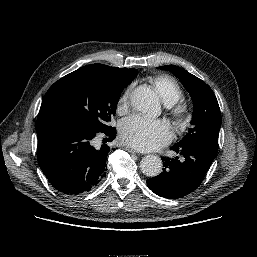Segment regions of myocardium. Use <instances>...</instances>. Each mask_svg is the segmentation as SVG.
I'll list each match as a JSON object with an SVG mask.
<instances>
[{
    "mask_svg": "<svg viewBox=\"0 0 257 257\" xmlns=\"http://www.w3.org/2000/svg\"><path fill=\"white\" fill-rule=\"evenodd\" d=\"M169 115L172 123L178 130L184 129L190 120V108L184 102H176L175 104L168 106Z\"/></svg>",
    "mask_w": 257,
    "mask_h": 257,
    "instance_id": "1",
    "label": "myocardium"
}]
</instances>
